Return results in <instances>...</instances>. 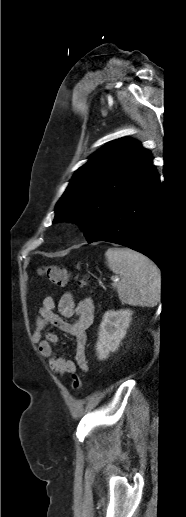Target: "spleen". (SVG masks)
<instances>
[{"label": "spleen", "mask_w": 186, "mask_h": 517, "mask_svg": "<svg viewBox=\"0 0 186 517\" xmlns=\"http://www.w3.org/2000/svg\"><path fill=\"white\" fill-rule=\"evenodd\" d=\"M108 267L120 275L117 291L123 303L153 307L161 299V272L146 256L127 248H109Z\"/></svg>", "instance_id": "3e777b00"}]
</instances>
